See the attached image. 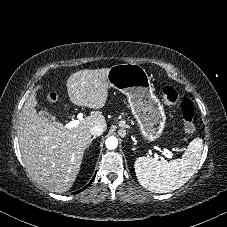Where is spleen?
I'll return each mask as SVG.
<instances>
[{
  "mask_svg": "<svg viewBox=\"0 0 227 227\" xmlns=\"http://www.w3.org/2000/svg\"><path fill=\"white\" fill-rule=\"evenodd\" d=\"M203 150V140L195 138L181 159L158 161L149 157H138L135 173L139 183L153 193L172 192L183 186L198 168Z\"/></svg>",
  "mask_w": 227,
  "mask_h": 227,
  "instance_id": "spleen-1",
  "label": "spleen"
}]
</instances>
